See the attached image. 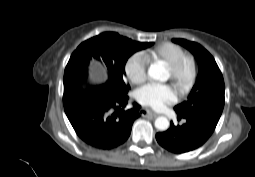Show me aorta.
Instances as JSON below:
<instances>
[{"mask_svg": "<svg viewBox=\"0 0 255 177\" xmlns=\"http://www.w3.org/2000/svg\"><path fill=\"white\" fill-rule=\"evenodd\" d=\"M148 76L151 79L159 81H166L169 77L166 69L158 64H153L150 66L148 70ZM169 125V120L164 116L157 117L155 120V127L160 131L167 130L169 128Z\"/></svg>", "mask_w": 255, "mask_h": 177, "instance_id": "762f6f07", "label": "aorta"}]
</instances>
